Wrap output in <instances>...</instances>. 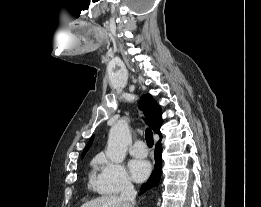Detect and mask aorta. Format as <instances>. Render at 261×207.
Instances as JSON below:
<instances>
[{"label": "aorta", "mask_w": 261, "mask_h": 207, "mask_svg": "<svg viewBox=\"0 0 261 207\" xmlns=\"http://www.w3.org/2000/svg\"><path fill=\"white\" fill-rule=\"evenodd\" d=\"M131 143L132 138L129 124L126 119H120L109 131L106 156L112 162H123L127 149Z\"/></svg>", "instance_id": "obj_1"}]
</instances>
